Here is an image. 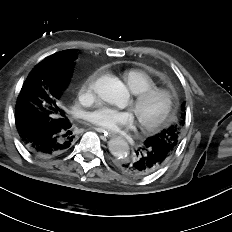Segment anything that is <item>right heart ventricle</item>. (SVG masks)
I'll return each instance as SVG.
<instances>
[{"label":"right heart ventricle","mask_w":232,"mask_h":232,"mask_svg":"<svg viewBox=\"0 0 232 232\" xmlns=\"http://www.w3.org/2000/svg\"><path fill=\"white\" fill-rule=\"evenodd\" d=\"M123 79L129 90L134 94L155 86L154 79L149 74L139 69L125 71Z\"/></svg>","instance_id":"right-heart-ventricle-1"}]
</instances>
